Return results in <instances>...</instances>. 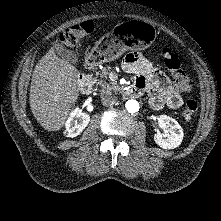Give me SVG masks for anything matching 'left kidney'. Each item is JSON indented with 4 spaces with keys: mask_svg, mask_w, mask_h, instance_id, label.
Returning <instances> with one entry per match:
<instances>
[{
    "mask_svg": "<svg viewBox=\"0 0 221 221\" xmlns=\"http://www.w3.org/2000/svg\"><path fill=\"white\" fill-rule=\"evenodd\" d=\"M160 123L166 125L167 133H156L154 140L163 149H174L177 148L183 140V129L180 124L167 115H160L158 117Z\"/></svg>",
    "mask_w": 221,
    "mask_h": 221,
    "instance_id": "5707ae66",
    "label": "left kidney"
}]
</instances>
